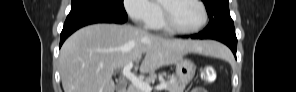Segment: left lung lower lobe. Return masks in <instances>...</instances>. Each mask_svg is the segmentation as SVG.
Instances as JSON below:
<instances>
[{"label": "left lung lower lobe", "instance_id": "0a47b994", "mask_svg": "<svg viewBox=\"0 0 296 92\" xmlns=\"http://www.w3.org/2000/svg\"><path fill=\"white\" fill-rule=\"evenodd\" d=\"M188 37V36H185ZM192 39H214L218 40L224 44H226L233 52L236 57V49H237V38L236 35H219V36H212L208 37L203 32L198 34H194L190 36Z\"/></svg>", "mask_w": 296, "mask_h": 92}]
</instances>
